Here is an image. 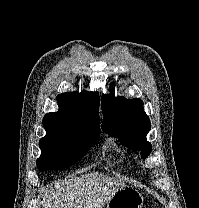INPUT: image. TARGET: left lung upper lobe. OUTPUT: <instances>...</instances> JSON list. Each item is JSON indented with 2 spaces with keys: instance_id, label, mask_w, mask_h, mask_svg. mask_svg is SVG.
Segmentation results:
<instances>
[{
  "instance_id": "obj_1",
  "label": "left lung upper lobe",
  "mask_w": 199,
  "mask_h": 208,
  "mask_svg": "<svg viewBox=\"0 0 199 208\" xmlns=\"http://www.w3.org/2000/svg\"><path fill=\"white\" fill-rule=\"evenodd\" d=\"M103 112L102 129L118 140L128 149L141 152L146 158L151 150V144L145 138L151 129L149 117L143 112L141 99H125L115 97L112 92L102 95Z\"/></svg>"
}]
</instances>
